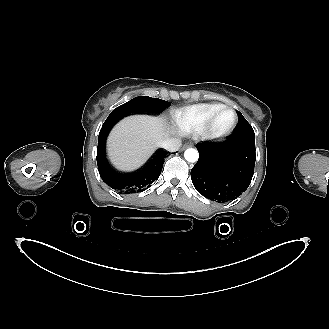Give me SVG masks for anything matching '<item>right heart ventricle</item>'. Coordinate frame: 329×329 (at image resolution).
Wrapping results in <instances>:
<instances>
[{
	"label": "right heart ventricle",
	"mask_w": 329,
	"mask_h": 329,
	"mask_svg": "<svg viewBox=\"0 0 329 329\" xmlns=\"http://www.w3.org/2000/svg\"><path fill=\"white\" fill-rule=\"evenodd\" d=\"M222 106L223 103L214 102L183 107L173 111L172 121L182 134L198 132L208 118Z\"/></svg>",
	"instance_id": "1"
}]
</instances>
